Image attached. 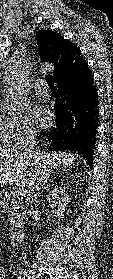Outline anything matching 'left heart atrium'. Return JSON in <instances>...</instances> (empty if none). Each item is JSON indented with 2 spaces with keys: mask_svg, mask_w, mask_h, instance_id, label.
I'll use <instances>...</instances> for the list:
<instances>
[{
  "mask_svg": "<svg viewBox=\"0 0 113 279\" xmlns=\"http://www.w3.org/2000/svg\"><path fill=\"white\" fill-rule=\"evenodd\" d=\"M34 114H35V117L37 118V120L40 122L46 121L49 116L47 108L45 106H41V105H39L35 108Z\"/></svg>",
  "mask_w": 113,
  "mask_h": 279,
  "instance_id": "obj_1",
  "label": "left heart atrium"
}]
</instances>
